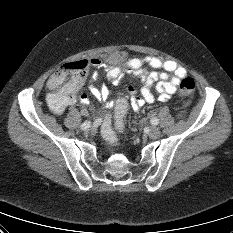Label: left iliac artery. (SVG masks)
Segmentation results:
<instances>
[{"label": "left iliac artery", "instance_id": "44dca946", "mask_svg": "<svg viewBox=\"0 0 233 233\" xmlns=\"http://www.w3.org/2000/svg\"><path fill=\"white\" fill-rule=\"evenodd\" d=\"M158 123H159V119L158 118L155 117V118L151 119V124L152 125H157Z\"/></svg>", "mask_w": 233, "mask_h": 233}]
</instances>
